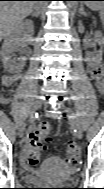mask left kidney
Segmentation results:
<instances>
[{
  "mask_svg": "<svg viewBox=\"0 0 104 189\" xmlns=\"http://www.w3.org/2000/svg\"><path fill=\"white\" fill-rule=\"evenodd\" d=\"M95 36H96L99 43L103 42V37H102V34L100 32H96ZM101 60H102V53L94 54V55L89 54L88 57H87V61L91 64L99 63V62H101Z\"/></svg>",
  "mask_w": 104,
  "mask_h": 189,
  "instance_id": "obj_1",
  "label": "left kidney"
}]
</instances>
